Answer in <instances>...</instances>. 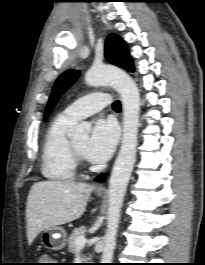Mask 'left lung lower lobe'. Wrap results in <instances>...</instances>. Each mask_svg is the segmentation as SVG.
Wrapping results in <instances>:
<instances>
[{"instance_id": "obj_1", "label": "left lung lower lobe", "mask_w": 205, "mask_h": 265, "mask_svg": "<svg viewBox=\"0 0 205 265\" xmlns=\"http://www.w3.org/2000/svg\"><path fill=\"white\" fill-rule=\"evenodd\" d=\"M104 179H105V175L102 174V175H99V176L95 179V181H97V182H103Z\"/></svg>"}]
</instances>
